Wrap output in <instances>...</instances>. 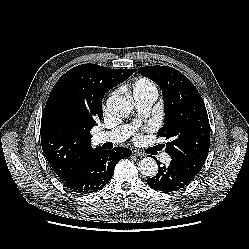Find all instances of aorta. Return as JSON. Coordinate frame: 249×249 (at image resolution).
<instances>
[{
  "mask_svg": "<svg viewBox=\"0 0 249 249\" xmlns=\"http://www.w3.org/2000/svg\"><path fill=\"white\" fill-rule=\"evenodd\" d=\"M107 107L112 114L128 117L134 109V102L130 96H112L107 103ZM139 172L146 177H152L156 175L158 166L154 159L143 158L138 164Z\"/></svg>",
  "mask_w": 249,
  "mask_h": 249,
  "instance_id": "762f6f07",
  "label": "aorta"
}]
</instances>
